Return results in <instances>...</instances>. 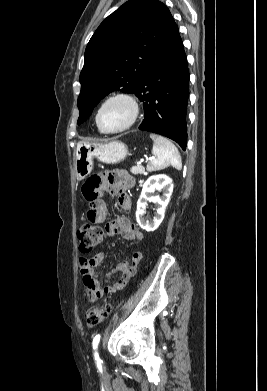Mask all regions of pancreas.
Wrapping results in <instances>:
<instances>
[{
    "mask_svg": "<svg viewBox=\"0 0 267 391\" xmlns=\"http://www.w3.org/2000/svg\"><path fill=\"white\" fill-rule=\"evenodd\" d=\"M131 172L133 174H143L145 172V168L143 166H140V165L133 166L131 168Z\"/></svg>",
    "mask_w": 267,
    "mask_h": 391,
    "instance_id": "cf45deb5",
    "label": "pancreas"
}]
</instances>
